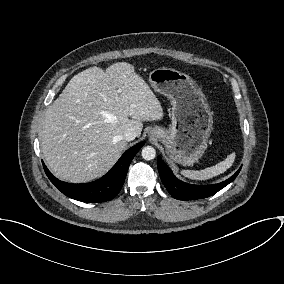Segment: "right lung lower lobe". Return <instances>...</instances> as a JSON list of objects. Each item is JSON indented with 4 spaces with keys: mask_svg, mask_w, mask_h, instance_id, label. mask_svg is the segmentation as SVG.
Listing matches in <instances>:
<instances>
[{
    "mask_svg": "<svg viewBox=\"0 0 284 284\" xmlns=\"http://www.w3.org/2000/svg\"><path fill=\"white\" fill-rule=\"evenodd\" d=\"M144 145L143 142L127 150L113 168L102 178L86 184H70L58 180L43 164L45 172L50 181L66 196L82 202L98 203L109 201L121 190L129 165Z\"/></svg>",
    "mask_w": 284,
    "mask_h": 284,
    "instance_id": "1",
    "label": "right lung lower lobe"
}]
</instances>
